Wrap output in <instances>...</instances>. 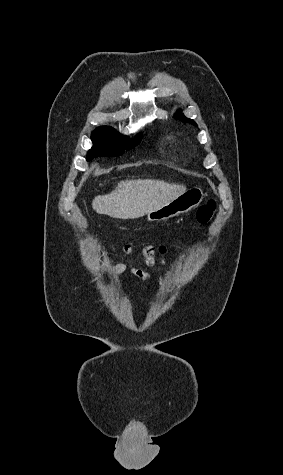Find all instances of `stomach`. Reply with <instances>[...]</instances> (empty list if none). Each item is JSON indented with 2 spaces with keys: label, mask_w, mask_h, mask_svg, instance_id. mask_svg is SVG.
I'll return each instance as SVG.
<instances>
[{
  "label": "stomach",
  "mask_w": 283,
  "mask_h": 475,
  "mask_svg": "<svg viewBox=\"0 0 283 475\" xmlns=\"http://www.w3.org/2000/svg\"><path fill=\"white\" fill-rule=\"evenodd\" d=\"M204 194L201 188H190L182 196H178L172 202H168L159 210H154V212H149L147 214L148 222H164V220H169V218H174L178 214H185L189 212L192 208L199 206L202 202Z\"/></svg>",
  "instance_id": "obj_1"
}]
</instances>
